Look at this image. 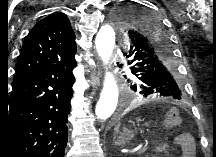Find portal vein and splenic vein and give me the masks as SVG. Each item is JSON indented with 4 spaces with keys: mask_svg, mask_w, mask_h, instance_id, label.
<instances>
[{
    "mask_svg": "<svg viewBox=\"0 0 216 157\" xmlns=\"http://www.w3.org/2000/svg\"><path fill=\"white\" fill-rule=\"evenodd\" d=\"M146 147H144V146H142V145H139V146H137L134 150H138V151H140V152H144V151H146Z\"/></svg>",
    "mask_w": 216,
    "mask_h": 157,
    "instance_id": "1",
    "label": "portal vein and splenic vein"
}]
</instances>
